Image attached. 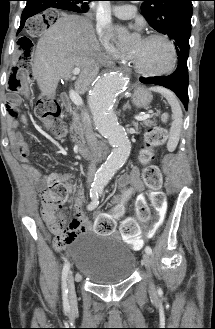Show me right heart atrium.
Masks as SVG:
<instances>
[{
    "label": "right heart atrium",
    "instance_id": "right-heart-atrium-1",
    "mask_svg": "<svg viewBox=\"0 0 215 329\" xmlns=\"http://www.w3.org/2000/svg\"><path fill=\"white\" fill-rule=\"evenodd\" d=\"M96 32L104 47L114 58L121 59L124 57L115 45L114 32L110 25L99 21L96 25Z\"/></svg>",
    "mask_w": 215,
    "mask_h": 329
}]
</instances>
